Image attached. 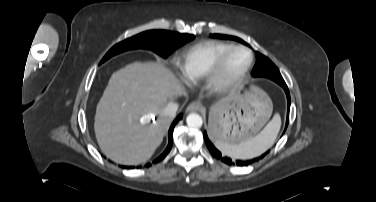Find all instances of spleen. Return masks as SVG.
<instances>
[{"mask_svg":"<svg viewBox=\"0 0 376 202\" xmlns=\"http://www.w3.org/2000/svg\"><path fill=\"white\" fill-rule=\"evenodd\" d=\"M280 126L281 118L277 113L257 136L240 144H228L215 141V146L222 154L233 159H250L257 157L273 145L279 133Z\"/></svg>","mask_w":376,"mask_h":202,"instance_id":"3e777b00","label":"spleen"}]
</instances>
